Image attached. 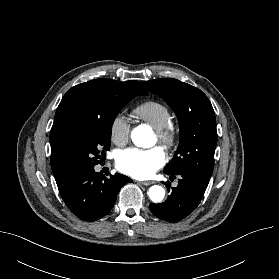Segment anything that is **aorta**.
<instances>
[{
    "label": "aorta",
    "instance_id": "obj_1",
    "mask_svg": "<svg viewBox=\"0 0 279 279\" xmlns=\"http://www.w3.org/2000/svg\"><path fill=\"white\" fill-rule=\"evenodd\" d=\"M149 138V133L142 127L133 129L131 133L132 141L141 147H146ZM148 195L154 203H159L164 199L165 190L162 186L153 185L149 188Z\"/></svg>",
    "mask_w": 279,
    "mask_h": 279
}]
</instances>
